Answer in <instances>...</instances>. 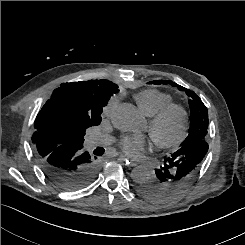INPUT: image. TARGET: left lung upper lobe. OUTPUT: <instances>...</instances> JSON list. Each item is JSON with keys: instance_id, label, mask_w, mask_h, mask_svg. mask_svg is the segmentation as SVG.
<instances>
[{"instance_id": "left-lung-upper-lobe-1", "label": "left lung upper lobe", "mask_w": 245, "mask_h": 245, "mask_svg": "<svg viewBox=\"0 0 245 245\" xmlns=\"http://www.w3.org/2000/svg\"><path fill=\"white\" fill-rule=\"evenodd\" d=\"M148 84H170L172 86H176L181 91H185L187 96L189 97V105L191 110L189 135L183 141L181 146L195 141L205 140L208 129V110L201 99L193 91L187 90L186 88L177 85L175 82H172L170 80L150 81L148 82Z\"/></svg>"}]
</instances>
